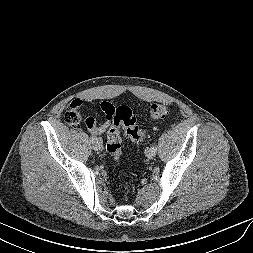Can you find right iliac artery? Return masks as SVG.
<instances>
[{
    "label": "right iliac artery",
    "instance_id": "1",
    "mask_svg": "<svg viewBox=\"0 0 253 253\" xmlns=\"http://www.w3.org/2000/svg\"><path fill=\"white\" fill-rule=\"evenodd\" d=\"M95 140H96V137L92 136V137H91V141L93 142V141H95Z\"/></svg>",
    "mask_w": 253,
    "mask_h": 253
}]
</instances>
